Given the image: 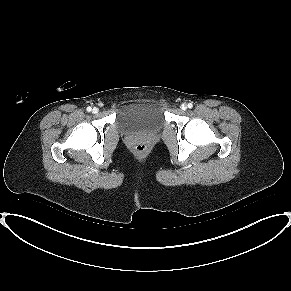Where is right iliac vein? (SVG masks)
Segmentation results:
<instances>
[{
    "instance_id": "obj_1",
    "label": "right iliac vein",
    "mask_w": 291,
    "mask_h": 291,
    "mask_svg": "<svg viewBox=\"0 0 291 291\" xmlns=\"http://www.w3.org/2000/svg\"><path fill=\"white\" fill-rule=\"evenodd\" d=\"M92 112H93L94 114L98 113V108H96V107L93 108Z\"/></svg>"
}]
</instances>
